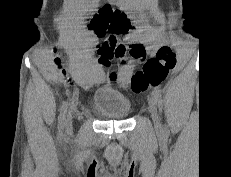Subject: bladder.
<instances>
[{
	"label": "bladder",
	"instance_id": "31cf9c89",
	"mask_svg": "<svg viewBox=\"0 0 231 177\" xmlns=\"http://www.w3.org/2000/svg\"><path fill=\"white\" fill-rule=\"evenodd\" d=\"M93 107L103 118L123 120L131 113V101L120 92L99 88L93 95Z\"/></svg>",
	"mask_w": 231,
	"mask_h": 177
}]
</instances>
